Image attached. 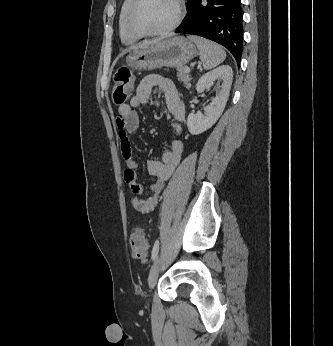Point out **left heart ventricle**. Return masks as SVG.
I'll return each instance as SVG.
<instances>
[{"instance_id": "left-heart-ventricle-1", "label": "left heart ventricle", "mask_w": 333, "mask_h": 346, "mask_svg": "<svg viewBox=\"0 0 333 346\" xmlns=\"http://www.w3.org/2000/svg\"><path fill=\"white\" fill-rule=\"evenodd\" d=\"M176 14L175 0H143L136 12V24L148 31L169 26Z\"/></svg>"}]
</instances>
